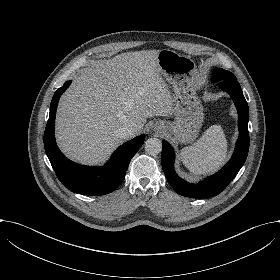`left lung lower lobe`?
I'll return each mask as SVG.
<instances>
[{
  "mask_svg": "<svg viewBox=\"0 0 280 280\" xmlns=\"http://www.w3.org/2000/svg\"><path fill=\"white\" fill-rule=\"evenodd\" d=\"M218 86L227 91L233 99L239 115V139L237 140L231 160L215 175L198 185L189 184L179 178L174 171V151L169 143L162 142L161 163L169 184L183 196L191 198H208L218 195L237 175L243 166L249 149V109L238 81L225 80Z\"/></svg>",
  "mask_w": 280,
  "mask_h": 280,
  "instance_id": "obj_1",
  "label": "left lung lower lobe"
}]
</instances>
